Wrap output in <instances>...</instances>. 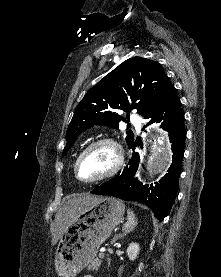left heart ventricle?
I'll use <instances>...</instances> for the list:
<instances>
[{
    "mask_svg": "<svg viewBox=\"0 0 221 277\" xmlns=\"http://www.w3.org/2000/svg\"><path fill=\"white\" fill-rule=\"evenodd\" d=\"M115 154L108 145H100L90 150L81 160L79 175L83 179H93L111 169Z\"/></svg>",
    "mask_w": 221,
    "mask_h": 277,
    "instance_id": "1",
    "label": "left heart ventricle"
}]
</instances>
